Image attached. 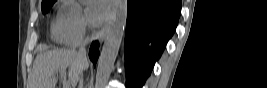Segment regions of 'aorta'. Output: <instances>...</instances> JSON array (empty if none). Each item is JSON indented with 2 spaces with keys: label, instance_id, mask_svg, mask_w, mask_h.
I'll list each match as a JSON object with an SVG mask.
<instances>
[{
  "label": "aorta",
  "instance_id": "1",
  "mask_svg": "<svg viewBox=\"0 0 267 88\" xmlns=\"http://www.w3.org/2000/svg\"><path fill=\"white\" fill-rule=\"evenodd\" d=\"M127 21V0H118L99 56L94 88H105L112 72Z\"/></svg>",
  "mask_w": 267,
  "mask_h": 88
}]
</instances>
